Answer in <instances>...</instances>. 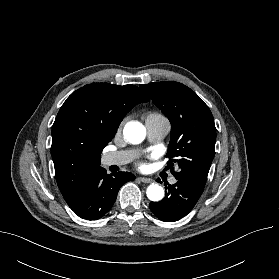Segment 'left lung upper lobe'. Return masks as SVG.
Returning a JSON list of instances; mask_svg holds the SVG:
<instances>
[{
    "instance_id": "left-lung-upper-lobe-1",
    "label": "left lung upper lobe",
    "mask_w": 279,
    "mask_h": 279,
    "mask_svg": "<svg viewBox=\"0 0 279 279\" xmlns=\"http://www.w3.org/2000/svg\"><path fill=\"white\" fill-rule=\"evenodd\" d=\"M171 122V140L167 157L174 177L205 187L214 158L216 129L212 113L198 95L178 82H155L140 85Z\"/></svg>"
}]
</instances>
